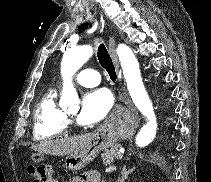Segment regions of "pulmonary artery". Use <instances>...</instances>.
<instances>
[{
  "mask_svg": "<svg viewBox=\"0 0 211 182\" xmlns=\"http://www.w3.org/2000/svg\"><path fill=\"white\" fill-rule=\"evenodd\" d=\"M100 80V74L93 69L81 70L76 75V81L85 87L97 86Z\"/></svg>",
  "mask_w": 211,
  "mask_h": 182,
  "instance_id": "obj_1",
  "label": "pulmonary artery"
}]
</instances>
